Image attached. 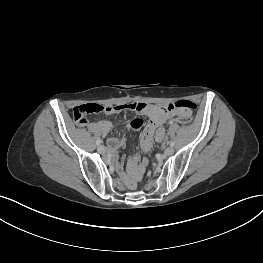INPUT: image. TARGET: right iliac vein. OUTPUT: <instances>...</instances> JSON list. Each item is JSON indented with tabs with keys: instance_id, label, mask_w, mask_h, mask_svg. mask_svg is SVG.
I'll return each mask as SVG.
<instances>
[{
	"instance_id": "obj_1",
	"label": "right iliac vein",
	"mask_w": 263,
	"mask_h": 263,
	"mask_svg": "<svg viewBox=\"0 0 263 263\" xmlns=\"http://www.w3.org/2000/svg\"><path fill=\"white\" fill-rule=\"evenodd\" d=\"M98 152L100 154H104L105 153V147L103 145H99L98 148H97Z\"/></svg>"
}]
</instances>
